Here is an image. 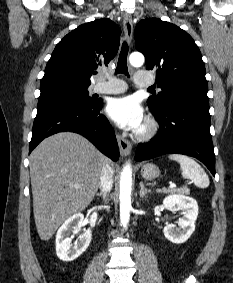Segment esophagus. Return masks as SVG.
I'll use <instances>...</instances> for the list:
<instances>
[{
    "instance_id": "obj_1",
    "label": "esophagus",
    "mask_w": 233,
    "mask_h": 283,
    "mask_svg": "<svg viewBox=\"0 0 233 283\" xmlns=\"http://www.w3.org/2000/svg\"><path fill=\"white\" fill-rule=\"evenodd\" d=\"M124 34L128 42H131L133 36V21L130 13H126L123 20ZM117 141L122 156H128L131 152L132 145L130 141L121 135H117Z\"/></svg>"
}]
</instances>
